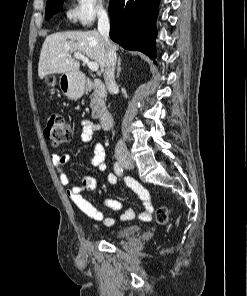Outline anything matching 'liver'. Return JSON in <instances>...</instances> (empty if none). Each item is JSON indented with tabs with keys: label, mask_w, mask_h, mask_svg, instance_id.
<instances>
[{
	"label": "liver",
	"mask_w": 247,
	"mask_h": 296,
	"mask_svg": "<svg viewBox=\"0 0 247 296\" xmlns=\"http://www.w3.org/2000/svg\"><path fill=\"white\" fill-rule=\"evenodd\" d=\"M114 50L118 46L112 44ZM81 53L105 68L106 47L98 31H69L53 33L46 37L40 52L38 75L41 79L49 74L78 73L80 62L71 57Z\"/></svg>",
	"instance_id": "obj_1"
}]
</instances>
